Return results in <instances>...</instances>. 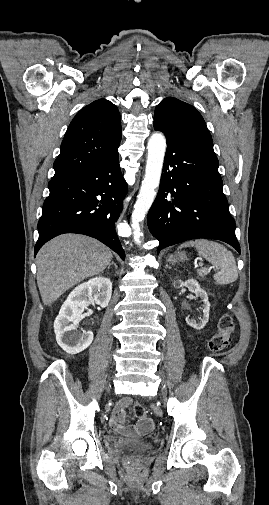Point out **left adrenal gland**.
<instances>
[{
  "instance_id": "obj_1",
  "label": "left adrenal gland",
  "mask_w": 269,
  "mask_h": 505,
  "mask_svg": "<svg viewBox=\"0 0 269 505\" xmlns=\"http://www.w3.org/2000/svg\"><path fill=\"white\" fill-rule=\"evenodd\" d=\"M166 269H171V267H170L168 264H166V265H165V270H166Z\"/></svg>"
}]
</instances>
